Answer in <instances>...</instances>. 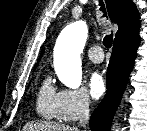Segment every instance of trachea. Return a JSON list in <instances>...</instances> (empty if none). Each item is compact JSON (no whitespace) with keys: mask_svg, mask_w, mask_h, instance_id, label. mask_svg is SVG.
<instances>
[{"mask_svg":"<svg viewBox=\"0 0 147 131\" xmlns=\"http://www.w3.org/2000/svg\"><path fill=\"white\" fill-rule=\"evenodd\" d=\"M99 5H100V10L104 13V16L107 17L105 5L102 0H100ZM112 42H113V33L106 35L103 39V45L107 48H110L112 46Z\"/></svg>","mask_w":147,"mask_h":131,"instance_id":"3493384b","label":"trachea"}]
</instances>
